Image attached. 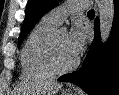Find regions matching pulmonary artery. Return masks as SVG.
<instances>
[{"label":"pulmonary artery","mask_w":119,"mask_h":95,"mask_svg":"<svg viewBox=\"0 0 119 95\" xmlns=\"http://www.w3.org/2000/svg\"><path fill=\"white\" fill-rule=\"evenodd\" d=\"M89 7V3L84 0H71L63 3L57 8L48 12L45 17L53 23L59 25L69 15L84 11Z\"/></svg>","instance_id":"obj_1"}]
</instances>
